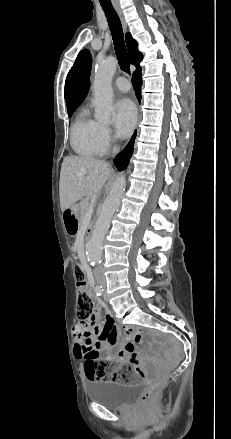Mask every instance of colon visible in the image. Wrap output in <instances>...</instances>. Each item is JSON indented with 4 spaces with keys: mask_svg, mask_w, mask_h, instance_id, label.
I'll return each mask as SVG.
<instances>
[{
    "mask_svg": "<svg viewBox=\"0 0 231 439\" xmlns=\"http://www.w3.org/2000/svg\"><path fill=\"white\" fill-rule=\"evenodd\" d=\"M76 288L78 291L77 316L83 322H88L93 315V300L87 291L86 276L81 266L75 268ZM124 332L132 331L131 328H124ZM85 372L89 380H107L120 384H128L135 380V374L140 373L138 367L120 365L117 369L110 372V365L106 361H98L95 354L89 353L85 359ZM163 377L148 378L146 388L140 397V404H149L157 394Z\"/></svg>",
    "mask_w": 231,
    "mask_h": 439,
    "instance_id": "5ec220e1",
    "label": "colon"
}]
</instances>
